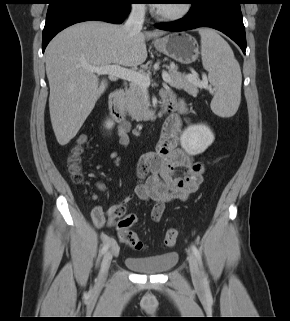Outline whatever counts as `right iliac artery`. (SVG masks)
Masks as SVG:
<instances>
[{
	"instance_id": "82829eb1",
	"label": "right iliac artery",
	"mask_w": 290,
	"mask_h": 321,
	"mask_svg": "<svg viewBox=\"0 0 290 321\" xmlns=\"http://www.w3.org/2000/svg\"><path fill=\"white\" fill-rule=\"evenodd\" d=\"M108 248H109V242H106L102 247V250H101L102 254H104L108 250Z\"/></svg>"
}]
</instances>
